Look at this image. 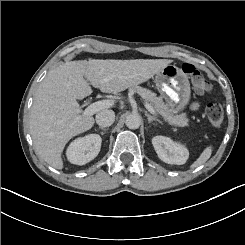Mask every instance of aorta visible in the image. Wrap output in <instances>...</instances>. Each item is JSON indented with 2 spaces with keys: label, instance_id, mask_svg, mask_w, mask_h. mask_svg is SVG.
Listing matches in <instances>:
<instances>
[{
  "label": "aorta",
  "instance_id": "obj_1",
  "mask_svg": "<svg viewBox=\"0 0 245 245\" xmlns=\"http://www.w3.org/2000/svg\"><path fill=\"white\" fill-rule=\"evenodd\" d=\"M125 124L129 129H137L141 125V118L137 114H130L126 117Z\"/></svg>",
  "mask_w": 245,
  "mask_h": 245
}]
</instances>
